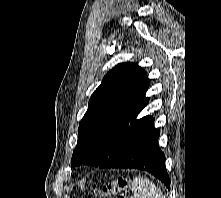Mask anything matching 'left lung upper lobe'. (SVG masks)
Wrapping results in <instances>:
<instances>
[{
  "instance_id": "5c2ea615",
  "label": "left lung upper lobe",
  "mask_w": 221,
  "mask_h": 198,
  "mask_svg": "<svg viewBox=\"0 0 221 198\" xmlns=\"http://www.w3.org/2000/svg\"><path fill=\"white\" fill-rule=\"evenodd\" d=\"M150 80L135 63L118 64L104 77L89 100L78 129L71 165L101 166L151 116L136 119L148 104Z\"/></svg>"
}]
</instances>
